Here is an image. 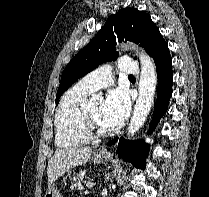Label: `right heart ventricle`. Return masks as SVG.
I'll return each mask as SVG.
<instances>
[{"label":"right heart ventricle","mask_w":209,"mask_h":197,"mask_svg":"<svg viewBox=\"0 0 209 197\" xmlns=\"http://www.w3.org/2000/svg\"><path fill=\"white\" fill-rule=\"evenodd\" d=\"M91 93L77 84L63 95L54 120L55 142L59 147H76L91 140L81 127V111Z\"/></svg>","instance_id":"obj_1"}]
</instances>
